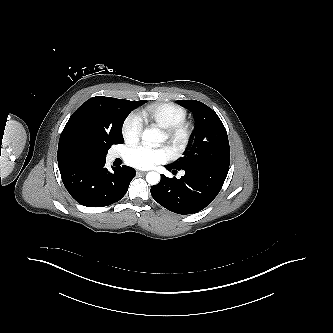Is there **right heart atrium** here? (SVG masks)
<instances>
[{
	"mask_svg": "<svg viewBox=\"0 0 333 333\" xmlns=\"http://www.w3.org/2000/svg\"><path fill=\"white\" fill-rule=\"evenodd\" d=\"M143 123L137 113H130L123 121L122 136L127 144L136 143L142 133Z\"/></svg>",
	"mask_w": 333,
	"mask_h": 333,
	"instance_id": "d8ad5b80",
	"label": "right heart atrium"
}]
</instances>
